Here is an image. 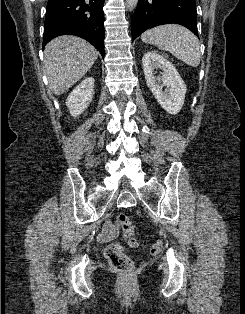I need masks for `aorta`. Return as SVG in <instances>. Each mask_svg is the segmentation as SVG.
<instances>
[{
	"label": "aorta",
	"mask_w": 245,
	"mask_h": 314,
	"mask_svg": "<svg viewBox=\"0 0 245 314\" xmlns=\"http://www.w3.org/2000/svg\"><path fill=\"white\" fill-rule=\"evenodd\" d=\"M137 3H138V0H126V5L130 11L136 8Z\"/></svg>",
	"instance_id": "aorta-1"
}]
</instances>
